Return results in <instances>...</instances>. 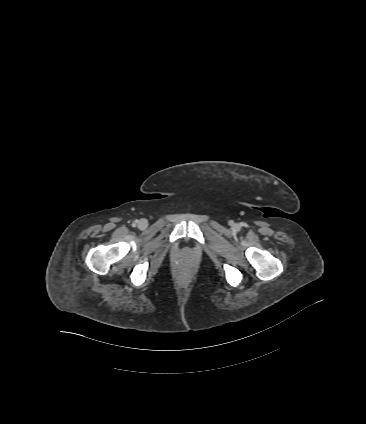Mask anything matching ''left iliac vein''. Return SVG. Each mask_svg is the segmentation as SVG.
Here are the masks:
<instances>
[{"instance_id":"left-iliac-vein-1","label":"left iliac vein","mask_w":366,"mask_h":424,"mask_svg":"<svg viewBox=\"0 0 366 424\" xmlns=\"http://www.w3.org/2000/svg\"><path fill=\"white\" fill-rule=\"evenodd\" d=\"M233 226H234L235 228H237V227H238V225H237V224H233Z\"/></svg>"}]
</instances>
